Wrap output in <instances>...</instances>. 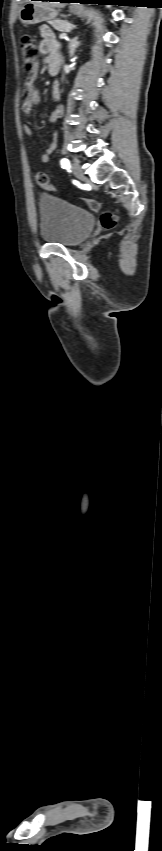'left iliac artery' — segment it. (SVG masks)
<instances>
[{
	"label": "left iliac artery",
	"mask_w": 162,
	"mask_h": 851,
	"mask_svg": "<svg viewBox=\"0 0 162 851\" xmlns=\"http://www.w3.org/2000/svg\"><path fill=\"white\" fill-rule=\"evenodd\" d=\"M61 166H62V168H68V167H70V162H69V160H68V159H66V158H63V159L61 160Z\"/></svg>",
	"instance_id": "1"
}]
</instances>
